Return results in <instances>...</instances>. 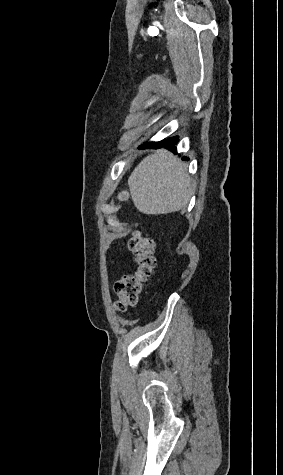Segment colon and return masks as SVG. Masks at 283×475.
I'll use <instances>...</instances> for the list:
<instances>
[{"label":"colon","instance_id":"colon-1","mask_svg":"<svg viewBox=\"0 0 283 475\" xmlns=\"http://www.w3.org/2000/svg\"><path fill=\"white\" fill-rule=\"evenodd\" d=\"M129 248L138 269L125 273L115 282L113 295L116 301L113 308L121 312L138 304L144 282L150 276L155 264L154 242L139 231L133 232L129 240Z\"/></svg>","mask_w":283,"mask_h":475}]
</instances>
